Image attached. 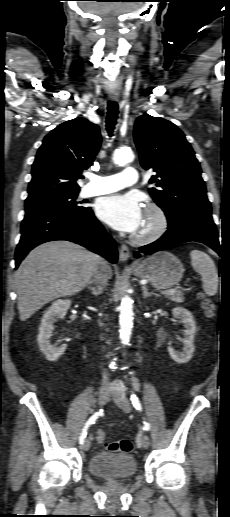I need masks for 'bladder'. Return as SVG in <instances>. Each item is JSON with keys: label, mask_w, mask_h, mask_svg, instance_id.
<instances>
[{"label": "bladder", "mask_w": 230, "mask_h": 517, "mask_svg": "<svg viewBox=\"0 0 230 517\" xmlns=\"http://www.w3.org/2000/svg\"><path fill=\"white\" fill-rule=\"evenodd\" d=\"M89 472L101 479H125L135 475L136 461L128 453H97L88 464Z\"/></svg>", "instance_id": "31cf9c89"}]
</instances>
